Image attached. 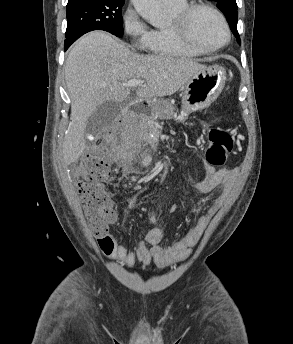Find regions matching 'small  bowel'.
<instances>
[{
	"instance_id": "1",
	"label": "small bowel",
	"mask_w": 293,
	"mask_h": 344,
	"mask_svg": "<svg viewBox=\"0 0 293 344\" xmlns=\"http://www.w3.org/2000/svg\"><path fill=\"white\" fill-rule=\"evenodd\" d=\"M143 158L146 160L148 156L144 154ZM236 176V169H216L208 163H204V175L195 185L197 193L207 195L218 187H222V191L198 216L195 224L169 246L161 245L164 233L161 228L155 227L146 233L144 240L140 241L133 250L118 243L112 234L105 233L98 240L101 251L105 256L122 263L126 267H131L137 260L144 265L153 261L160 268L185 260L190 255L191 248L198 243L210 219L228 197L234 186ZM138 206L137 198H132L129 201L130 208H137ZM150 218L153 221L157 220L155 214H151Z\"/></svg>"
}]
</instances>
